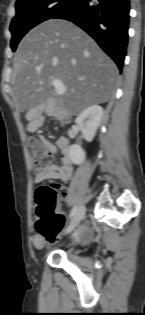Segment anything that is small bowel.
I'll use <instances>...</instances> for the list:
<instances>
[{
	"instance_id": "small-bowel-1",
	"label": "small bowel",
	"mask_w": 145,
	"mask_h": 315,
	"mask_svg": "<svg viewBox=\"0 0 145 315\" xmlns=\"http://www.w3.org/2000/svg\"><path fill=\"white\" fill-rule=\"evenodd\" d=\"M40 125V120L34 119L29 123V130H36ZM45 145L50 150L51 153H61V160L59 164H51L44 171H36L33 177V181L36 184L49 181V180H59L68 181L72 175V163L69 154V142L66 138H60L53 143L46 139H43ZM65 194L62 191L61 197L64 198ZM32 244L35 248L41 249L45 245V238L40 234L36 233L32 239Z\"/></svg>"
}]
</instances>
